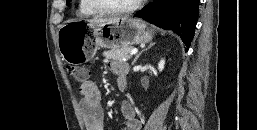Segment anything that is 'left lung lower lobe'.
Listing matches in <instances>:
<instances>
[{
	"mask_svg": "<svg viewBox=\"0 0 257 130\" xmlns=\"http://www.w3.org/2000/svg\"><path fill=\"white\" fill-rule=\"evenodd\" d=\"M200 0H156L135 17L178 34L189 47L194 36ZM188 48L185 49L187 51Z\"/></svg>",
	"mask_w": 257,
	"mask_h": 130,
	"instance_id": "obj_1",
	"label": "left lung lower lobe"
}]
</instances>
